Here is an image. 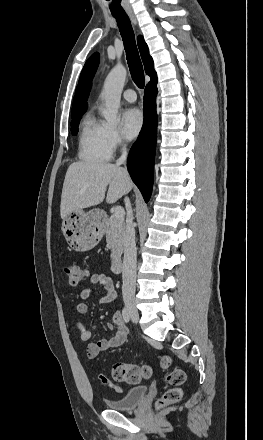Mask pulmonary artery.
<instances>
[{
    "label": "pulmonary artery",
    "mask_w": 263,
    "mask_h": 440,
    "mask_svg": "<svg viewBox=\"0 0 263 440\" xmlns=\"http://www.w3.org/2000/svg\"><path fill=\"white\" fill-rule=\"evenodd\" d=\"M122 97L128 102L136 101V93L132 89H127L123 92Z\"/></svg>",
    "instance_id": "obj_1"
}]
</instances>
